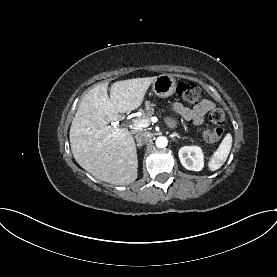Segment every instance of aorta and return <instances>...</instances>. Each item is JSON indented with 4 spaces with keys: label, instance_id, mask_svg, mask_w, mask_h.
<instances>
[{
    "label": "aorta",
    "instance_id": "obj_1",
    "mask_svg": "<svg viewBox=\"0 0 277 277\" xmlns=\"http://www.w3.org/2000/svg\"><path fill=\"white\" fill-rule=\"evenodd\" d=\"M167 143H168V141H167V138H166V137L161 136V137H158V138L156 139V146H157L158 148H164V147H166V146H167Z\"/></svg>",
    "mask_w": 277,
    "mask_h": 277
}]
</instances>
